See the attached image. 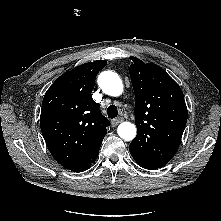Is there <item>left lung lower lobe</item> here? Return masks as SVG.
I'll return each instance as SVG.
<instances>
[{"instance_id":"left-lung-lower-lobe-1","label":"left lung lower lobe","mask_w":221,"mask_h":221,"mask_svg":"<svg viewBox=\"0 0 221 221\" xmlns=\"http://www.w3.org/2000/svg\"><path fill=\"white\" fill-rule=\"evenodd\" d=\"M141 167H143V168H145V169H149V170L157 169V168H150V167H144V166H141Z\"/></svg>"}]
</instances>
